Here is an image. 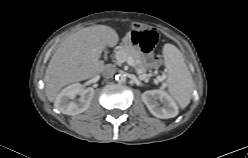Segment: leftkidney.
<instances>
[{"label":"left kidney","instance_id":"1","mask_svg":"<svg viewBox=\"0 0 248 158\" xmlns=\"http://www.w3.org/2000/svg\"><path fill=\"white\" fill-rule=\"evenodd\" d=\"M142 101L152 115L161 119L178 115V106L172 97L163 90H148L142 94Z\"/></svg>","mask_w":248,"mask_h":158}]
</instances>
